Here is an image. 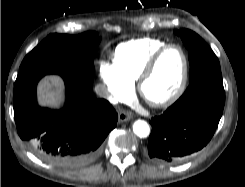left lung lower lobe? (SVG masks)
I'll use <instances>...</instances> for the list:
<instances>
[{"mask_svg": "<svg viewBox=\"0 0 245 187\" xmlns=\"http://www.w3.org/2000/svg\"><path fill=\"white\" fill-rule=\"evenodd\" d=\"M225 104L220 69L192 81L161 116L151 119L147 156L168 165L184 161L212 138Z\"/></svg>", "mask_w": 245, "mask_h": 187, "instance_id": "0a47b994", "label": "left lung lower lobe"}]
</instances>
